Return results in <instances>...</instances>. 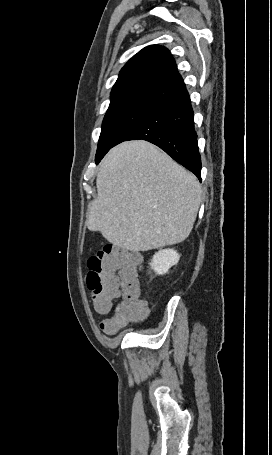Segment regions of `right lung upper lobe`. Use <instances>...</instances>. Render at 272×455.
I'll return each mask as SVG.
<instances>
[{
	"label": "right lung upper lobe",
	"instance_id": "cb5924a9",
	"mask_svg": "<svg viewBox=\"0 0 272 455\" xmlns=\"http://www.w3.org/2000/svg\"><path fill=\"white\" fill-rule=\"evenodd\" d=\"M187 92L175 60L163 46L150 45L121 69L111 91V103L145 98L167 103Z\"/></svg>",
	"mask_w": 272,
	"mask_h": 455
}]
</instances>
